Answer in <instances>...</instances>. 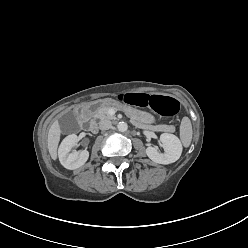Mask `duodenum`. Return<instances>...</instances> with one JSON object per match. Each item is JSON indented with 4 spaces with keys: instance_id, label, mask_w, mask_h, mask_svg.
Here are the masks:
<instances>
[{
    "instance_id": "duodenum-1",
    "label": "duodenum",
    "mask_w": 248,
    "mask_h": 248,
    "mask_svg": "<svg viewBox=\"0 0 248 248\" xmlns=\"http://www.w3.org/2000/svg\"><path fill=\"white\" fill-rule=\"evenodd\" d=\"M93 112L89 110V106L82 108L78 113V119L81 124L86 125L88 123V130L92 133L98 130L96 122H89Z\"/></svg>"
}]
</instances>
